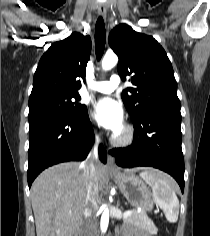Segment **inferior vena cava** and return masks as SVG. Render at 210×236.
<instances>
[{"instance_id": "inferior-vena-cava-1", "label": "inferior vena cava", "mask_w": 210, "mask_h": 236, "mask_svg": "<svg viewBox=\"0 0 210 236\" xmlns=\"http://www.w3.org/2000/svg\"><path fill=\"white\" fill-rule=\"evenodd\" d=\"M97 163V148L94 147L87 159L84 161V167L88 175V187L87 195L84 206V217H85V236H96L97 234V218L96 210L98 208V181L96 177Z\"/></svg>"}]
</instances>
